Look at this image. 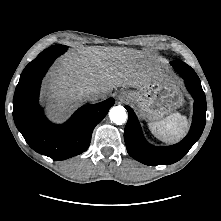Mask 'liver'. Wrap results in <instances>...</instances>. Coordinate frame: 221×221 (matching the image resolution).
<instances>
[{
    "label": "liver",
    "instance_id": "liver-1",
    "mask_svg": "<svg viewBox=\"0 0 221 221\" xmlns=\"http://www.w3.org/2000/svg\"><path fill=\"white\" fill-rule=\"evenodd\" d=\"M142 58L136 50L119 47H89L80 55L67 54L45 85L53 117L61 120L84 102L82 92L86 88H97L99 98H105L113 88H139L158 78L159 67Z\"/></svg>",
    "mask_w": 221,
    "mask_h": 221
}]
</instances>
